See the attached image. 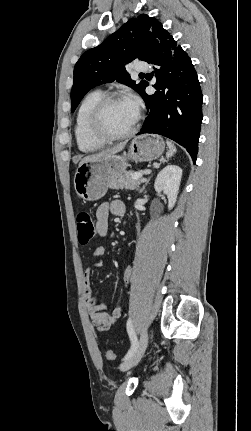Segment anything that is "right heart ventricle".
I'll use <instances>...</instances> for the list:
<instances>
[{
    "label": "right heart ventricle",
    "mask_w": 251,
    "mask_h": 431,
    "mask_svg": "<svg viewBox=\"0 0 251 431\" xmlns=\"http://www.w3.org/2000/svg\"><path fill=\"white\" fill-rule=\"evenodd\" d=\"M102 96L103 94L99 90L88 93L81 101L76 112L74 136L79 150L84 153L94 152L105 144V142L92 138L87 127L89 114Z\"/></svg>",
    "instance_id": "e07e8e85"
}]
</instances>
